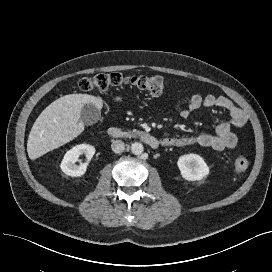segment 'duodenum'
Wrapping results in <instances>:
<instances>
[{"instance_id": "duodenum-1", "label": "duodenum", "mask_w": 272, "mask_h": 272, "mask_svg": "<svg viewBox=\"0 0 272 272\" xmlns=\"http://www.w3.org/2000/svg\"><path fill=\"white\" fill-rule=\"evenodd\" d=\"M108 135L112 139H122L124 137L122 130L114 126L108 129ZM137 137L139 140L153 149H156L159 146V141L150 133L140 132Z\"/></svg>"}]
</instances>
